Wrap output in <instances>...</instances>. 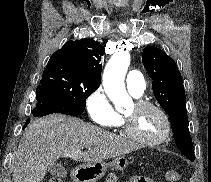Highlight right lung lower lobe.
<instances>
[{"label":"right lung lower lobe","mask_w":211,"mask_h":182,"mask_svg":"<svg viewBox=\"0 0 211 182\" xmlns=\"http://www.w3.org/2000/svg\"><path fill=\"white\" fill-rule=\"evenodd\" d=\"M37 106L33 109L32 114L35 117H41L52 113H62L67 115H79L80 113L74 111L66 104L56 100L50 96H37ZM30 122L28 119L24 128Z\"/></svg>","instance_id":"right-lung-lower-lobe-1"}]
</instances>
